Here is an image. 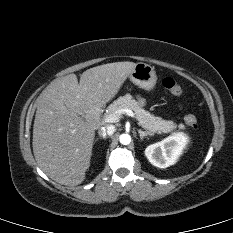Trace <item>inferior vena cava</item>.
<instances>
[{
	"label": "inferior vena cava",
	"mask_w": 233,
	"mask_h": 233,
	"mask_svg": "<svg viewBox=\"0 0 233 233\" xmlns=\"http://www.w3.org/2000/svg\"><path fill=\"white\" fill-rule=\"evenodd\" d=\"M115 126L113 125H107L105 127H101L98 131V134L101 136V137H106V136H111L114 134L115 132Z\"/></svg>",
	"instance_id": "602c4592"
}]
</instances>
